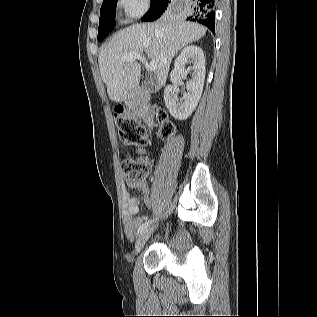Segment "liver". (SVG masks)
<instances>
[{
    "instance_id": "6515ba94",
    "label": "liver",
    "mask_w": 317,
    "mask_h": 317,
    "mask_svg": "<svg viewBox=\"0 0 317 317\" xmlns=\"http://www.w3.org/2000/svg\"><path fill=\"white\" fill-rule=\"evenodd\" d=\"M206 28L186 22L178 16H167L156 23L131 25L119 31L100 51L98 62L109 98L115 102L130 97L140 82L142 66L136 60L123 61L130 53L145 54L157 62L159 87L165 85L173 57L184 46L198 41Z\"/></svg>"
}]
</instances>
